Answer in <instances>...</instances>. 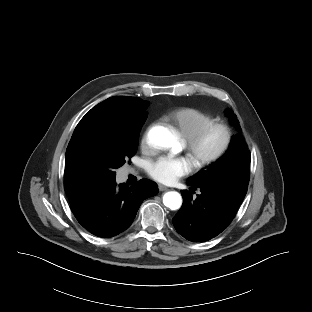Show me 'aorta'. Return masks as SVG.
<instances>
[{
	"label": "aorta",
	"instance_id": "obj_1",
	"mask_svg": "<svg viewBox=\"0 0 312 312\" xmlns=\"http://www.w3.org/2000/svg\"><path fill=\"white\" fill-rule=\"evenodd\" d=\"M149 142L158 148H171L175 138L171 131L164 126H155L148 133ZM163 203L171 210H177L182 205V197L178 192L170 191L164 194Z\"/></svg>",
	"mask_w": 312,
	"mask_h": 312
}]
</instances>
